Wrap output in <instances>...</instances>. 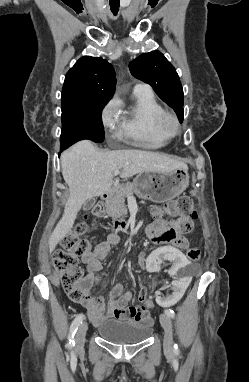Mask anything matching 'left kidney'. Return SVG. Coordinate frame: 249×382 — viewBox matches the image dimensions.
<instances>
[{"label":"left kidney","mask_w":249,"mask_h":382,"mask_svg":"<svg viewBox=\"0 0 249 382\" xmlns=\"http://www.w3.org/2000/svg\"><path fill=\"white\" fill-rule=\"evenodd\" d=\"M189 264L183 250H178L177 245H166L145 260H139V267H147L148 273H158L159 277H163L162 285L153 293L158 307H176V302L181 301L183 293L193 283L192 277H196V270H181Z\"/></svg>","instance_id":"1"}]
</instances>
